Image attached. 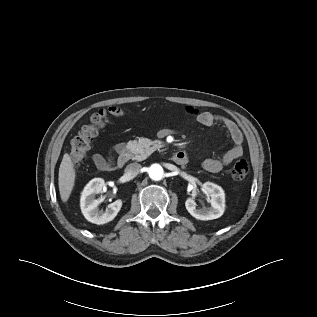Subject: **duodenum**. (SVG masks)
<instances>
[{
	"mask_svg": "<svg viewBox=\"0 0 317 317\" xmlns=\"http://www.w3.org/2000/svg\"><path fill=\"white\" fill-rule=\"evenodd\" d=\"M129 158V152L127 150H123L116 161L112 160L107 164L106 171H113L123 167L128 162ZM172 160L178 165H183L187 162V155L183 151H177L173 153Z\"/></svg>",
	"mask_w": 317,
	"mask_h": 317,
	"instance_id": "obj_1",
	"label": "duodenum"
}]
</instances>
